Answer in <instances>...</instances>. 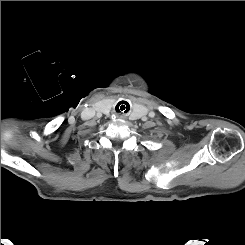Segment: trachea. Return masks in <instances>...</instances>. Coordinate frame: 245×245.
Returning <instances> with one entry per match:
<instances>
[{
	"label": "trachea",
	"instance_id": "1",
	"mask_svg": "<svg viewBox=\"0 0 245 245\" xmlns=\"http://www.w3.org/2000/svg\"><path fill=\"white\" fill-rule=\"evenodd\" d=\"M131 108V105L127 101H120L116 107L115 110L119 115H124L129 112Z\"/></svg>",
	"mask_w": 245,
	"mask_h": 245
}]
</instances>
